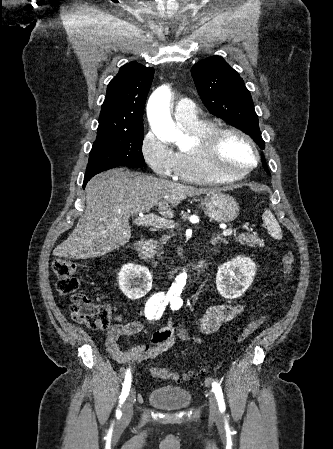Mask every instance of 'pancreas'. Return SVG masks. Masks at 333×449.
<instances>
[{
    "instance_id": "cf45deb5",
    "label": "pancreas",
    "mask_w": 333,
    "mask_h": 449,
    "mask_svg": "<svg viewBox=\"0 0 333 449\" xmlns=\"http://www.w3.org/2000/svg\"><path fill=\"white\" fill-rule=\"evenodd\" d=\"M236 241L242 245H248L251 247L262 246L263 241L258 238V236L250 233H240L238 235L235 234Z\"/></svg>"
}]
</instances>
